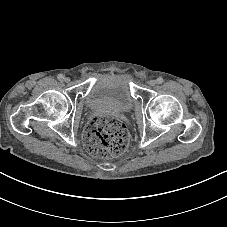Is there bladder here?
<instances>
[{
	"instance_id": "obj_1",
	"label": "bladder",
	"mask_w": 227,
	"mask_h": 227,
	"mask_svg": "<svg viewBox=\"0 0 227 227\" xmlns=\"http://www.w3.org/2000/svg\"><path fill=\"white\" fill-rule=\"evenodd\" d=\"M136 97L131 89L128 75L111 74L109 77L92 78L83 100V110L100 112L114 111L126 115L132 110Z\"/></svg>"
}]
</instances>
